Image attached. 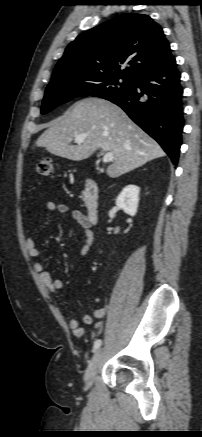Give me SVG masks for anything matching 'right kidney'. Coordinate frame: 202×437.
Segmentation results:
<instances>
[{"label": "right kidney", "instance_id": "obj_1", "mask_svg": "<svg viewBox=\"0 0 202 437\" xmlns=\"http://www.w3.org/2000/svg\"><path fill=\"white\" fill-rule=\"evenodd\" d=\"M140 188L136 185H127L116 199V206L123 209V211L135 216L139 203Z\"/></svg>", "mask_w": 202, "mask_h": 437}]
</instances>
